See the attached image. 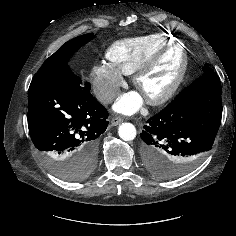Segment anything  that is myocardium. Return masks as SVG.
<instances>
[{
    "instance_id": "obj_1",
    "label": "myocardium",
    "mask_w": 236,
    "mask_h": 236,
    "mask_svg": "<svg viewBox=\"0 0 236 236\" xmlns=\"http://www.w3.org/2000/svg\"><path fill=\"white\" fill-rule=\"evenodd\" d=\"M179 47L181 50V64L177 76L171 85L162 93L158 95H148L145 96L146 101L150 105H161L168 100H170L176 92L181 87L184 82L188 69V54L185 46L181 42H172L171 44L159 49L153 53L148 59H146L134 72L133 74V84L136 88L140 90V81L141 79L153 69L157 62L168 52Z\"/></svg>"
}]
</instances>
